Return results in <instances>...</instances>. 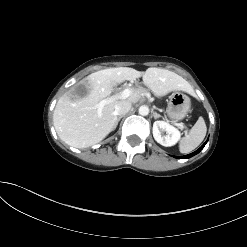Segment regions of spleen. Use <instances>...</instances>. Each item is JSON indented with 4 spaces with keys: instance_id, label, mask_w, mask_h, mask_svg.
Segmentation results:
<instances>
[{
    "instance_id": "obj_1",
    "label": "spleen",
    "mask_w": 247,
    "mask_h": 247,
    "mask_svg": "<svg viewBox=\"0 0 247 247\" xmlns=\"http://www.w3.org/2000/svg\"><path fill=\"white\" fill-rule=\"evenodd\" d=\"M207 132V127L203 117H199L197 122L191 128L188 135L183 137L179 143L181 153H189L200 145L204 140Z\"/></svg>"
}]
</instances>
